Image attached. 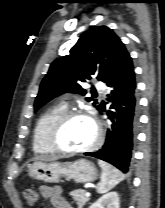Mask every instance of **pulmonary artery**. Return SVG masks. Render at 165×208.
Wrapping results in <instances>:
<instances>
[{"mask_svg":"<svg viewBox=\"0 0 165 208\" xmlns=\"http://www.w3.org/2000/svg\"><path fill=\"white\" fill-rule=\"evenodd\" d=\"M97 90L103 92L105 90L104 84L103 83H97L96 84Z\"/></svg>","mask_w":165,"mask_h":208,"instance_id":"e3ab8cb5","label":"pulmonary artery"}]
</instances>
